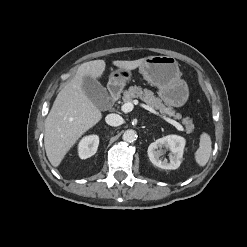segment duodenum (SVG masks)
<instances>
[{
	"instance_id": "1",
	"label": "duodenum",
	"mask_w": 247,
	"mask_h": 247,
	"mask_svg": "<svg viewBox=\"0 0 247 247\" xmlns=\"http://www.w3.org/2000/svg\"><path fill=\"white\" fill-rule=\"evenodd\" d=\"M109 95L111 103H114L118 98V90L112 87L109 91Z\"/></svg>"
}]
</instances>
